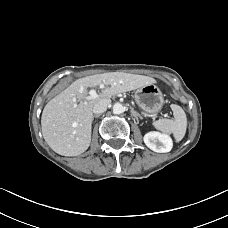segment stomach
Wrapping results in <instances>:
<instances>
[{
  "label": "stomach",
  "mask_w": 228,
  "mask_h": 228,
  "mask_svg": "<svg viewBox=\"0 0 228 228\" xmlns=\"http://www.w3.org/2000/svg\"><path fill=\"white\" fill-rule=\"evenodd\" d=\"M135 101L146 114L152 115L159 113L164 105L163 94L154 84L138 88L135 92Z\"/></svg>",
  "instance_id": "stomach-1"
}]
</instances>
